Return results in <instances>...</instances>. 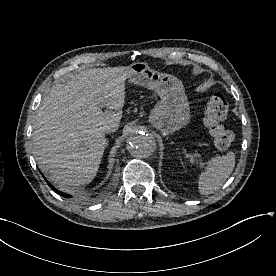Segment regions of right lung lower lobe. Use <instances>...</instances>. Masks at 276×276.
<instances>
[{
	"label": "right lung lower lobe",
	"instance_id": "right-lung-lower-lobe-1",
	"mask_svg": "<svg viewBox=\"0 0 276 276\" xmlns=\"http://www.w3.org/2000/svg\"><path fill=\"white\" fill-rule=\"evenodd\" d=\"M45 180H46V179H45ZM46 182L48 183V185L50 186V188H51L53 191H55L57 194H59V195L65 197V198L71 197V196L68 195V194H65V193H62V192L58 191V190H57L56 188H54L47 180H46Z\"/></svg>",
	"mask_w": 276,
	"mask_h": 276
}]
</instances>
